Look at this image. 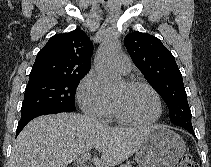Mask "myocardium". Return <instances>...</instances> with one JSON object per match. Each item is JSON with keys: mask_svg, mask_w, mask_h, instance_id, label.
I'll list each match as a JSON object with an SVG mask.
<instances>
[{"mask_svg": "<svg viewBox=\"0 0 211 167\" xmlns=\"http://www.w3.org/2000/svg\"><path fill=\"white\" fill-rule=\"evenodd\" d=\"M126 85L131 88L142 87V88L148 89L154 95V97L156 99L158 111H157L156 116L152 120H149L146 122H139V121H135V120H132V119L124 116L118 110L117 106L115 105V103L112 100L113 113H114L116 119L122 124L129 125V126H136V127H147V126H151V125L155 124L161 118L162 113H163L161 97H160L159 93L157 92V90L150 84L143 82V81H139V80H128L126 82Z\"/></svg>", "mask_w": 211, "mask_h": 167, "instance_id": "1", "label": "myocardium"}]
</instances>
